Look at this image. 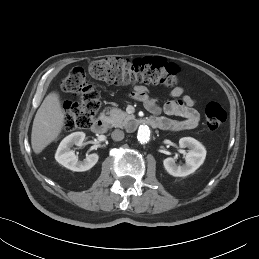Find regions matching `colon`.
<instances>
[{"mask_svg":"<svg viewBox=\"0 0 259 259\" xmlns=\"http://www.w3.org/2000/svg\"><path fill=\"white\" fill-rule=\"evenodd\" d=\"M93 79L111 84H160L174 86L177 83V69L160 58L128 60L109 57L91 62L87 69L75 67L61 82L64 92L73 94L77 101L65 106L64 127L66 130L88 128L100 108V95L88 81ZM205 125L209 131L217 130L226 120V112L215 101L205 107Z\"/></svg>","mask_w":259,"mask_h":259,"instance_id":"colon-1","label":"colon"}]
</instances>
